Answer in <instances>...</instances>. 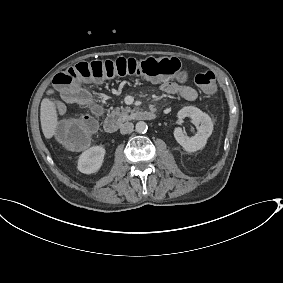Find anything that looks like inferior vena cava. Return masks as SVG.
Listing matches in <instances>:
<instances>
[{"label": "inferior vena cava", "mask_w": 283, "mask_h": 283, "mask_svg": "<svg viewBox=\"0 0 283 283\" xmlns=\"http://www.w3.org/2000/svg\"><path fill=\"white\" fill-rule=\"evenodd\" d=\"M133 128H134L133 123L126 122L124 124H121V126H120V133L121 134H128V133L132 132Z\"/></svg>", "instance_id": "inferior-vena-cava-1"}]
</instances>
